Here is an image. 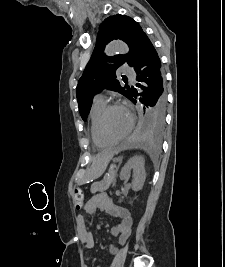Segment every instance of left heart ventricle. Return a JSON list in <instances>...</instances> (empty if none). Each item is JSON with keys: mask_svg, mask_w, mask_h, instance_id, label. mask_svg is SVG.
<instances>
[{"mask_svg": "<svg viewBox=\"0 0 225 267\" xmlns=\"http://www.w3.org/2000/svg\"><path fill=\"white\" fill-rule=\"evenodd\" d=\"M130 119L127 111L123 108L111 110L104 122L106 133L112 138H120L129 127Z\"/></svg>", "mask_w": 225, "mask_h": 267, "instance_id": "obj_1", "label": "left heart ventricle"}]
</instances>
